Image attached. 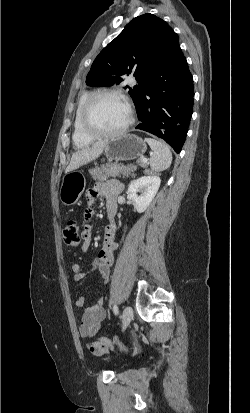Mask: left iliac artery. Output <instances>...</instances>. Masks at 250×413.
<instances>
[{"label": "left iliac artery", "instance_id": "44dca946", "mask_svg": "<svg viewBox=\"0 0 250 413\" xmlns=\"http://www.w3.org/2000/svg\"><path fill=\"white\" fill-rule=\"evenodd\" d=\"M113 311L116 315L118 314V307L116 304L113 306Z\"/></svg>", "mask_w": 250, "mask_h": 413}]
</instances>
